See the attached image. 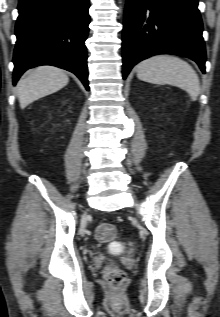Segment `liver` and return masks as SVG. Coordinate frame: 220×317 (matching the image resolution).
<instances>
[{
	"label": "liver",
	"mask_w": 220,
	"mask_h": 317,
	"mask_svg": "<svg viewBox=\"0 0 220 317\" xmlns=\"http://www.w3.org/2000/svg\"><path fill=\"white\" fill-rule=\"evenodd\" d=\"M69 82L65 71L53 66L33 69L17 84V96L21 109L30 103L59 91Z\"/></svg>",
	"instance_id": "1"
}]
</instances>
